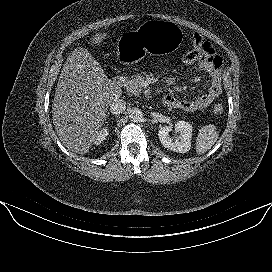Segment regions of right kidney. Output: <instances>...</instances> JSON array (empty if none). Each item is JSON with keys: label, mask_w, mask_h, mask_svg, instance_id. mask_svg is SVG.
Listing matches in <instances>:
<instances>
[{"label": "right kidney", "mask_w": 272, "mask_h": 272, "mask_svg": "<svg viewBox=\"0 0 272 272\" xmlns=\"http://www.w3.org/2000/svg\"><path fill=\"white\" fill-rule=\"evenodd\" d=\"M108 134H109V131H108V128H107V127L104 128L103 130H101V131L98 133V135H97V137H96V139H95V144H96V145H99L103 140L106 139V137H107Z\"/></svg>", "instance_id": "right-kidney-1"}]
</instances>
